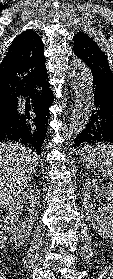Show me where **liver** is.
I'll use <instances>...</instances> for the list:
<instances>
[{
  "instance_id": "1",
  "label": "liver",
  "mask_w": 113,
  "mask_h": 279,
  "mask_svg": "<svg viewBox=\"0 0 113 279\" xmlns=\"http://www.w3.org/2000/svg\"><path fill=\"white\" fill-rule=\"evenodd\" d=\"M38 154L18 143H0V208L17 199L38 165Z\"/></svg>"
}]
</instances>
